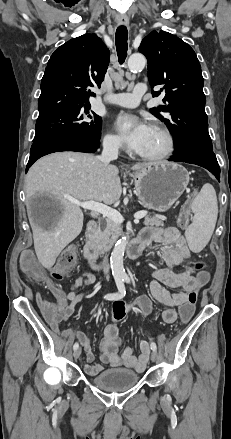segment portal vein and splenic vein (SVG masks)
<instances>
[{
    "mask_svg": "<svg viewBox=\"0 0 231 439\" xmlns=\"http://www.w3.org/2000/svg\"><path fill=\"white\" fill-rule=\"evenodd\" d=\"M70 202L82 207L83 209L90 210L96 214H102L103 216L111 219L116 223H123L124 217L115 209L110 208L109 206L96 202L94 200L89 201H78L74 199H70ZM147 215V211H141L134 215L135 221L144 218Z\"/></svg>",
    "mask_w": 231,
    "mask_h": 439,
    "instance_id": "18ae733b",
    "label": "portal vein and splenic vein"
}]
</instances>
